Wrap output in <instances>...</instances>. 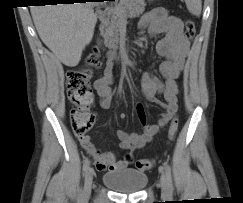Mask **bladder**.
<instances>
[{"label":"bladder","instance_id":"bladder-1","mask_svg":"<svg viewBox=\"0 0 243 203\" xmlns=\"http://www.w3.org/2000/svg\"><path fill=\"white\" fill-rule=\"evenodd\" d=\"M102 181L117 192L135 193L147 184L148 175L136 169L119 168L105 173Z\"/></svg>","mask_w":243,"mask_h":203}]
</instances>
